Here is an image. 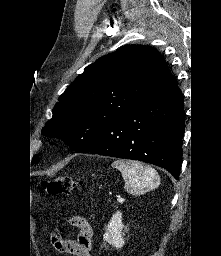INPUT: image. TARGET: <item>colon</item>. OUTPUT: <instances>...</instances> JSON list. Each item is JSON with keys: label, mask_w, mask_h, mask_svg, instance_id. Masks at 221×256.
Here are the masks:
<instances>
[{"label": "colon", "mask_w": 221, "mask_h": 256, "mask_svg": "<svg viewBox=\"0 0 221 256\" xmlns=\"http://www.w3.org/2000/svg\"><path fill=\"white\" fill-rule=\"evenodd\" d=\"M42 187L50 195L70 194L79 188V182L69 176H59L43 181Z\"/></svg>", "instance_id": "obj_1"}]
</instances>
